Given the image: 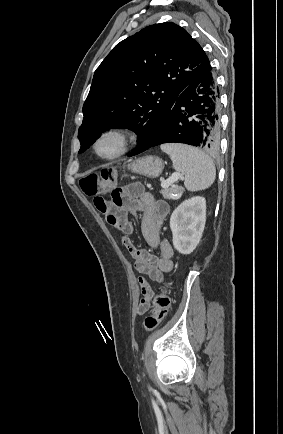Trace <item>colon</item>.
I'll list each match as a JSON object with an SVG mask.
<instances>
[{"instance_id":"colon-1","label":"colon","mask_w":283,"mask_h":434,"mask_svg":"<svg viewBox=\"0 0 283 434\" xmlns=\"http://www.w3.org/2000/svg\"><path fill=\"white\" fill-rule=\"evenodd\" d=\"M116 181V171L111 168L102 170L100 173H92L80 179V187L83 193L90 197L113 188ZM170 306L168 288L164 285L153 299L151 313L144 319V328L147 332L155 330L166 317Z\"/></svg>"}]
</instances>
